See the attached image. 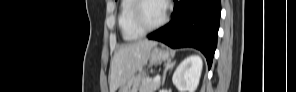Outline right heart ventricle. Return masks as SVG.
Listing matches in <instances>:
<instances>
[{
    "instance_id": "obj_1",
    "label": "right heart ventricle",
    "mask_w": 296,
    "mask_h": 92,
    "mask_svg": "<svg viewBox=\"0 0 296 92\" xmlns=\"http://www.w3.org/2000/svg\"><path fill=\"white\" fill-rule=\"evenodd\" d=\"M134 0H123L120 3L118 13V26L121 31L122 37L125 40H136L143 36V32L138 30L132 22V9Z\"/></svg>"
}]
</instances>
